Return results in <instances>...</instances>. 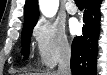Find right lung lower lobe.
I'll return each instance as SVG.
<instances>
[{"mask_svg":"<svg viewBox=\"0 0 107 75\" xmlns=\"http://www.w3.org/2000/svg\"><path fill=\"white\" fill-rule=\"evenodd\" d=\"M101 0H85L83 35L75 37L71 48L73 75H96Z\"/></svg>","mask_w":107,"mask_h":75,"instance_id":"98d812e1","label":"right lung lower lobe"}]
</instances>
